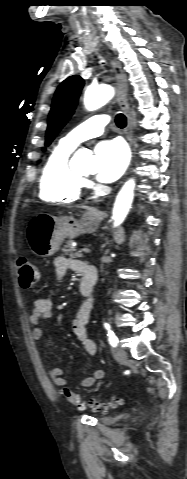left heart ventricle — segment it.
I'll use <instances>...</instances> for the list:
<instances>
[{
	"label": "left heart ventricle",
	"instance_id": "b2bd125f",
	"mask_svg": "<svg viewBox=\"0 0 187 479\" xmlns=\"http://www.w3.org/2000/svg\"><path fill=\"white\" fill-rule=\"evenodd\" d=\"M84 175H88V173H84Z\"/></svg>",
	"mask_w": 187,
	"mask_h": 479
}]
</instances>
